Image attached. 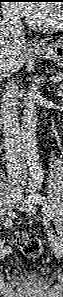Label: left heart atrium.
<instances>
[{
    "label": "left heart atrium",
    "mask_w": 63,
    "mask_h": 297,
    "mask_svg": "<svg viewBox=\"0 0 63 297\" xmlns=\"http://www.w3.org/2000/svg\"><path fill=\"white\" fill-rule=\"evenodd\" d=\"M18 9L33 22L40 21L43 15L42 9L35 4H18Z\"/></svg>",
    "instance_id": "left-heart-atrium-1"
}]
</instances>
